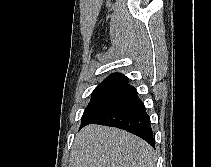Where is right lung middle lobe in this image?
<instances>
[{
	"label": "right lung middle lobe",
	"instance_id": "1",
	"mask_svg": "<svg viewBox=\"0 0 211 167\" xmlns=\"http://www.w3.org/2000/svg\"><path fill=\"white\" fill-rule=\"evenodd\" d=\"M130 88L131 85L127 81H103L94 89L91 100L83 113L81 124L93 120Z\"/></svg>",
	"mask_w": 211,
	"mask_h": 167
}]
</instances>
